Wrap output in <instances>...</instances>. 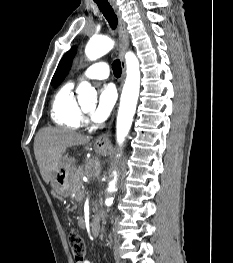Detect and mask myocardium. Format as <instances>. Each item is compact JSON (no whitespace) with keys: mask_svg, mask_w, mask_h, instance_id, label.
Here are the masks:
<instances>
[{"mask_svg":"<svg viewBox=\"0 0 233 263\" xmlns=\"http://www.w3.org/2000/svg\"><path fill=\"white\" fill-rule=\"evenodd\" d=\"M83 113H84V114H87V111L83 110Z\"/></svg>","mask_w":233,"mask_h":263,"instance_id":"myocardium-1","label":"myocardium"}]
</instances>
